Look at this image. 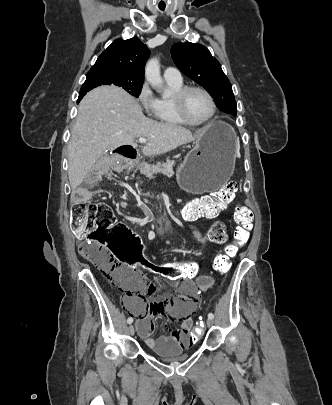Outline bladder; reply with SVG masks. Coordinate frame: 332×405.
Returning a JSON list of instances; mask_svg holds the SVG:
<instances>
[{"label": "bladder", "instance_id": "bladder-1", "mask_svg": "<svg viewBox=\"0 0 332 405\" xmlns=\"http://www.w3.org/2000/svg\"><path fill=\"white\" fill-rule=\"evenodd\" d=\"M154 354H156L159 358L165 361H179L184 360L188 357L187 353L177 351L175 353H169L163 350H152Z\"/></svg>", "mask_w": 332, "mask_h": 405}]
</instances>
